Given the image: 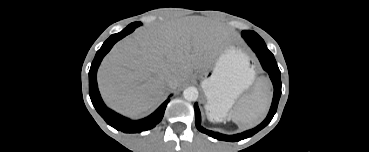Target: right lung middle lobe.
I'll list each match as a JSON object with an SVG mask.
<instances>
[{"label": "right lung middle lobe", "instance_id": "right-lung-middle-lobe-1", "mask_svg": "<svg viewBox=\"0 0 369 152\" xmlns=\"http://www.w3.org/2000/svg\"><path fill=\"white\" fill-rule=\"evenodd\" d=\"M134 23H138V26H140L141 25V23L140 22H134ZM134 23H132V24H134ZM131 25V24H130Z\"/></svg>", "mask_w": 369, "mask_h": 152}]
</instances>
